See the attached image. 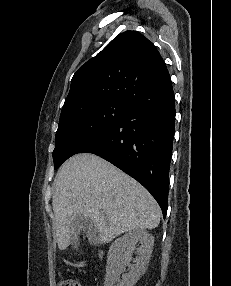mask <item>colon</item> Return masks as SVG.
Masks as SVG:
<instances>
[{"label":"colon","instance_id":"obj_1","mask_svg":"<svg viewBox=\"0 0 231 286\" xmlns=\"http://www.w3.org/2000/svg\"><path fill=\"white\" fill-rule=\"evenodd\" d=\"M58 286H82V284L79 280L70 278L61 281Z\"/></svg>","mask_w":231,"mask_h":286}]
</instances>
